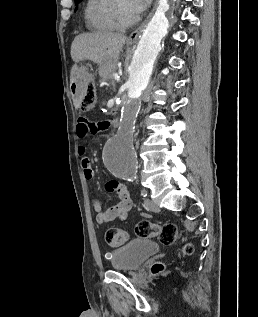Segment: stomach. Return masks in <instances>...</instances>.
Wrapping results in <instances>:
<instances>
[{
  "mask_svg": "<svg viewBox=\"0 0 258 317\" xmlns=\"http://www.w3.org/2000/svg\"><path fill=\"white\" fill-rule=\"evenodd\" d=\"M128 46H131L132 42L130 40H127ZM79 62V60H78ZM82 74H88L87 66H84V64H74L73 66V82H77L78 76H82Z\"/></svg>",
  "mask_w": 258,
  "mask_h": 317,
  "instance_id": "stomach-1",
  "label": "stomach"
}]
</instances>
